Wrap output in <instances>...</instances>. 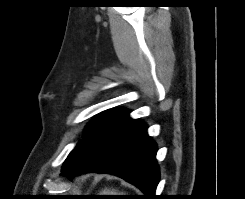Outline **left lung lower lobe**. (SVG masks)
<instances>
[{
    "mask_svg": "<svg viewBox=\"0 0 245 199\" xmlns=\"http://www.w3.org/2000/svg\"><path fill=\"white\" fill-rule=\"evenodd\" d=\"M128 114L123 111L99 131L61 175L114 174L142 190L143 199H154L159 182L157 147L146 133L147 126L141 120L130 119Z\"/></svg>",
    "mask_w": 245,
    "mask_h": 199,
    "instance_id": "obj_1",
    "label": "left lung lower lobe"
}]
</instances>
